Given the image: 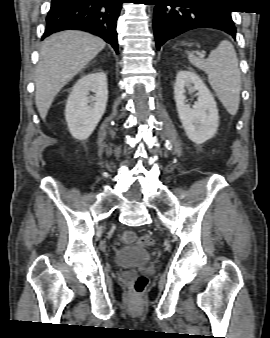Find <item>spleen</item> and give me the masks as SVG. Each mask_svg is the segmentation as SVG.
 <instances>
[{"label": "spleen", "instance_id": "3e777b00", "mask_svg": "<svg viewBox=\"0 0 270 338\" xmlns=\"http://www.w3.org/2000/svg\"><path fill=\"white\" fill-rule=\"evenodd\" d=\"M188 60L208 75L210 86L218 99L229 114L235 115L240 103L241 75L233 45L223 40L207 59L188 53Z\"/></svg>", "mask_w": 270, "mask_h": 338}]
</instances>
